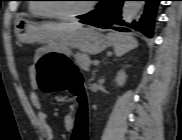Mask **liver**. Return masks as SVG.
Wrapping results in <instances>:
<instances>
[{
	"mask_svg": "<svg viewBox=\"0 0 182 140\" xmlns=\"http://www.w3.org/2000/svg\"><path fill=\"white\" fill-rule=\"evenodd\" d=\"M82 24L77 22V21H73V22H63V23H47L42 25V29H44L47 32H54V31H64V32H71L77 29L82 28Z\"/></svg>",
	"mask_w": 182,
	"mask_h": 140,
	"instance_id": "1",
	"label": "liver"
}]
</instances>
